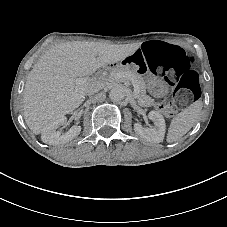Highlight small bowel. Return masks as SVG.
<instances>
[{"label":"small bowel","mask_w":227,"mask_h":227,"mask_svg":"<svg viewBox=\"0 0 227 227\" xmlns=\"http://www.w3.org/2000/svg\"><path fill=\"white\" fill-rule=\"evenodd\" d=\"M134 56L137 57L139 69L141 71H145L147 69V62L144 53L142 52V49L141 48L137 49Z\"/></svg>","instance_id":"small-bowel-1"}]
</instances>
